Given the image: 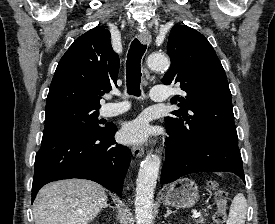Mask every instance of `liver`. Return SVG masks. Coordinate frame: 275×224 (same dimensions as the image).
Instances as JSON below:
<instances>
[{
    "mask_svg": "<svg viewBox=\"0 0 275 224\" xmlns=\"http://www.w3.org/2000/svg\"><path fill=\"white\" fill-rule=\"evenodd\" d=\"M105 189L84 179L49 183L37 194L35 224H89L107 204Z\"/></svg>",
    "mask_w": 275,
    "mask_h": 224,
    "instance_id": "6515ba94",
    "label": "liver"
}]
</instances>
